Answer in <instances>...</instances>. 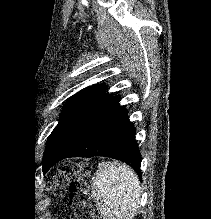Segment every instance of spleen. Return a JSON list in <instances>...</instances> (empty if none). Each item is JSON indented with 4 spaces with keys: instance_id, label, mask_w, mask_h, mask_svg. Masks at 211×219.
<instances>
[{
    "instance_id": "obj_1",
    "label": "spleen",
    "mask_w": 211,
    "mask_h": 219,
    "mask_svg": "<svg viewBox=\"0 0 211 219\" xmlns=\"http://www.w3.org/2000/svg\"><path fill=\"white\" fill-rule=\"evenodd\" d=\"M92 196L103 219H133L137 214L141 188L136 173L125 164L101 162L92 179Z\"/></svg>"
}]
</instances>
